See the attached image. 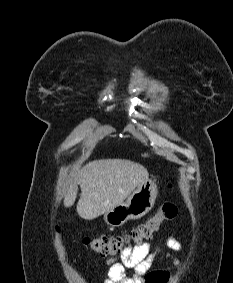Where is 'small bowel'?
Returning a JSON list of instances; mask_svg holds the SVG:
<instances>
[{
    "label": "small bowel",
    "mask_w": 233,
    "mask_h": 283,
    "mask_svg": "<svg viewBox=\"0 0 233 283\" xmlns=\"http://www.w3.org/2000/svg\"><path fill=\"white\" fill-rule=\"evenodd\" d=\"M166 245L172 251L178 252L182 249L181 244L174 238H168ZM150 243L143 242L134 248H128L114 259L108 261V277L104 283H168L169 273L165 271H150L154 259L160 254V248L150 252ZM172 259L174 265L180 269V261L170 253L160 256ZM125 268H133L135 274L132 277L125 275Z\"/></svg>",
    "instance_id": "small-bowel-1"
}]
</instances>
